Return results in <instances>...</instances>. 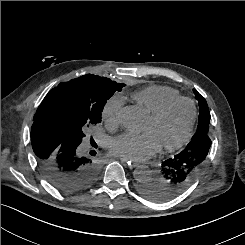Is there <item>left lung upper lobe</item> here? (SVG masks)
Returning a JSON list of instances; mask_svg holds the SVG:
<instances>
[{
    "label": "left lung upper lobe",
    "mask_w": 245,
    "mask_h": 245,
    "mask_svg": "<svg viewBox=\"0 0 245 245\" xmlns=\"http://www.w3.org/2000/svg\"><path fill=\"white\" fill-rule=\"evenodd\" d=\"M193 92L198 100V104L200 108L197 130L194 136L192 137V139H195L201 136L208 135L209 123H210V112H209L208 105L204 97L200 95L198 91H196L195 89H193Z\"/></svg>",
    "instance_id": "5c2ea615"
}]
</instances>
